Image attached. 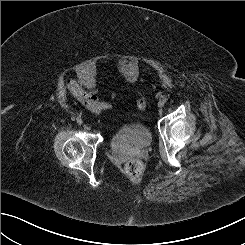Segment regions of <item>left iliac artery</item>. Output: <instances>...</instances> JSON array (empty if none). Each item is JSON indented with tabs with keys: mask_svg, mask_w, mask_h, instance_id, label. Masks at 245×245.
Listing matches in <instances>:
<instances>
[{
	"mask_svg": "<svg viewBox=\"0 0 245 245\" xmlns=\"http://www.w3.org/2000/svg\"><path fill=\"white\" fill-rule=\"evenodd\" d=\"M167 100H168V99H167L166 97H164L162 101H163L164 103H166Z\"/></svg>",
	"mask_w": 245,
	"mask_h": 245,
	"instance_id": "left-iliac-artery-1",
	"label": "left iliac artery"
}]
</instances>
